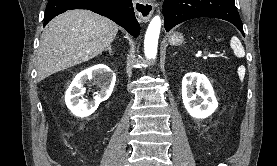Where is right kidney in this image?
I'll return each mask as SVG.
<instances>
[{
	"mask_svg": "<svg viewBox=\"0 0 277 166\" xmlns=\"http://www.w3.org/2000/svg\"><path fill=\"white\" fill-rule=\"evenodd\" d=\"M91 78H96L100 91L93 101L79 99L83 93V84ZM116 77L105 65H97L80 72L72 81L65 94V102L68 109L81 118L95 112L102 101L107 100L115 86Z\"/></svg>",
	"mask_w": 277,
	"mask_h": 166,
	"instance_id": "ca27d5eb",
	"label": "right kidney"
}]
</instances>
